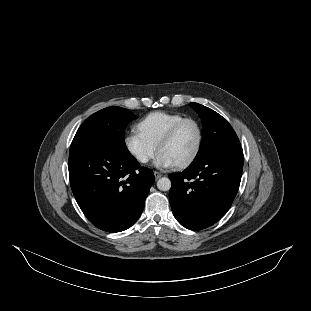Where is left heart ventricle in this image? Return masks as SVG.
I'll return each instance as SVG.
<instances>
[{
    "label": "left heart ventricle",
    "mask_w": 311,
    "mask_h": 311,
    "mask_svg": "<svg viewBox=\"0 0 311 311\" xmlns=\"http://www.w3.org/2000/svg\"><path fill=\"white\" fill-rule=\"evenodd\" d=\"M199 142V128L194 120H188L180 128L175 139L164 146L160 153L167 154L177 165L190 159Z\"/></svg>",
    "instance_id": "1"
}]
</instances>
